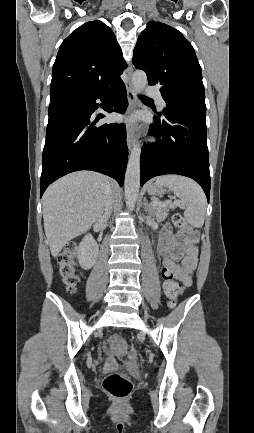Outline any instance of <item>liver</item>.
<instances>
[{"label": "liver", "mask_w": 254, "mask_h": 433, "mask_svg": "<svg viewBox=\"0 0 254 433\" xmlns=\"http://www.w3.org/2000/svg\"><path fill=\"white\" fill-rule=\"evenodd\" d=\"M111 182L92 172L71 173L52 184L43 195L44 230L52 256L73 238L85 233L103 214Z\"/></svg>", "instance_id": "6515ba94"}]
</instances>
